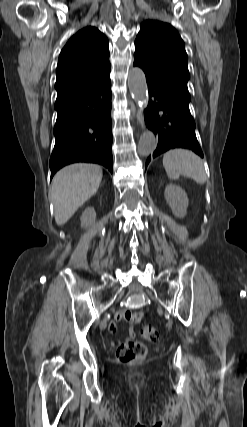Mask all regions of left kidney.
I'll list each match as a JSON object with an SVG mask.
<instances>
[{
    "instance_id": "1",
    "label": "left kidney",
    "mask_w": 247,
    "mask_h": 427,
    "mask_svg": "<svg viewBox=\"0 0 247 427\" xmlns=\"http://www.w3.org/2000/svg\"><path fill=\"white\" fill-rule=\"evenodd\" d=\"M164 195L173 214L178 218H183L187 213L189 203L185 190L176 184H168Z\"/></svg>"
}]
</instances>
